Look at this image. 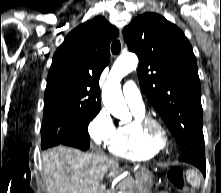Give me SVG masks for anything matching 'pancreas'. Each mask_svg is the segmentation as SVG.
<instances>
[{
	"label": "pancreas",
	"instance_id": "obj_1",
	"mask_svg": "<svg viewBox=\"0 0 221 193\" xmlns=\"http://www.w3.org/2000/svg\"><path fill=\"white\" fill-rule=\"evenodd\" d=\"M151 187V177L145 170L139 172L136 178H129L123 181L121 189L126 190L123 193H134L135 189H139L143 193H148Z\"/></svg>",
	"mask_w": 221,
	"mask_h": 193
}]
</instances>
